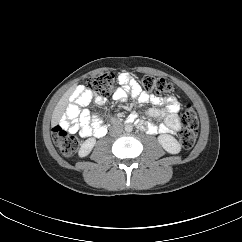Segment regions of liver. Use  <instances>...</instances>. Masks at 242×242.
<instances>
[{
	"instance_id": "liver-1",
	"label": "liver",
	"mask_w": 242,
	"mask_h": 242,
	"mask_svg": "<svg viewBox=\"0 0 242 242\" xmlns=\"http://www.w3.org/2000/svg\"><path fill=\"white\" fill-rule=\"evenodd\" d=\"M63 105H64V102H60L57 105V107L55 108L53 116H52V126L57 125V123L62 115V112H63Z\"/></svg>"
}]
</instances>
